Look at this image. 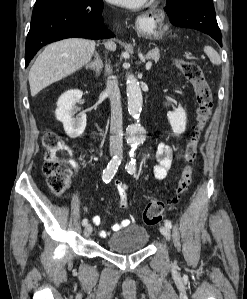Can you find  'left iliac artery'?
Returning a JSON list of instances; mask_svg holds the SVG:
<instances>
[{
  "label": "left iliac artery",
  "instance_id": "obj_1",
  "mask_svg": "<svg viewBox=\"0 0 247 299\" xmlns=\"http://www.w3.org/2000/svg\"><path fill=\"white\" fill-rule=\"evenodd\" d=\"M125 168H126L127 172L130 173V174H133L135 172L136 167H135V159L133 158V155L130 158L129 162L126 164ZM164 224L168 228L172 227V223L168 220H166Z\"/></svg>",
  "mask_w": 247,
  "mask_h": 299
}]
</instances>
